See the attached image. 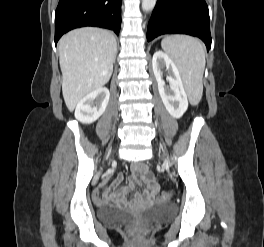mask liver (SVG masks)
Masks as SVG:
<instances>
[{
  "instance_id": "liver-1",
  "label": "liver",
  "mask_w": 264,
  "mask_h": 247,
  "mask_svg": "<svg viewBox=\"0 0 264 247\" xmlns=\"http://www.w3.org/2000/svg\"><path fill=\"white\" fill-rule=\"evenodd\" d=\"M62 93L69 111L90 92L108 83L117 52L107 30L85 27L65 34L58 43Z\"/></svg>"
}]
</instances>
